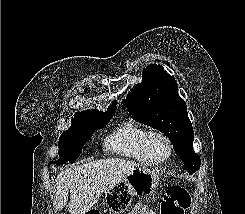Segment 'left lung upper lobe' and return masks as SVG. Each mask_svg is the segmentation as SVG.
Masks as SVG:
<instances>
[{"instance_id": "left-lung-upper-lobe-1", "label": "left lung upper lobe", "mask_w": 245, "mask_h": 214, "mask_svg": "<svg viewBox=\"0 0 245 214\" xmlns=\"http://www.w3.org/2000/svg\"><path fill=\"white\" fill-rule=\"evenodd\" d=\"M142 78L122 100L123 105L139 122L163 132L185 163L184 170L193 174L201 161L193 149V127L175 78L157 64L148 65Z\"/></svg>"}]
</instances>
